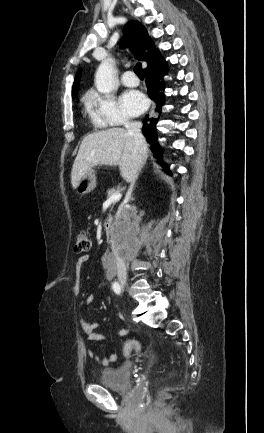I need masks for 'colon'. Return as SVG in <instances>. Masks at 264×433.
<instances>
[{
  "label": "colon",
  "instance_id": "1",
  "mask_svg": "<svg viewBox=\"0 0 264 433\" xmlns=\"http://www.w3.org/2000/svg\"><path fill=\"white\" fill-rule=\"evenodd\" d=\"M91 249V240L89 236L81 232L77 235L74 244V252L77 254H85ZM140 351V344L135 340H128L123 346V353L125 356H129L132 353H138Z\"/></svg>",
  "mask_w": 264,
  "mask_h": 433
}]
</instances>
